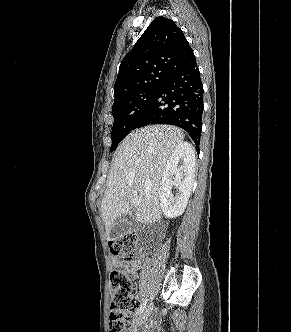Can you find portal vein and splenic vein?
<instances>
[{
	"label": "portal vein and splenic vein",
	"instance_id": "18ae733b",
	"mask_svg": "<svg viewBox=\"0 0 291 332\" xmlns=\"http://www.w3.org/2000/svg\"><path fill=\"white\" fill-rule=\"evenodd\" d=\"M135 204H139V200L137 198L134 199Z\"/></svg>",
	"mask_w": 291,
	"mask_h": 332
}]
</instances>
